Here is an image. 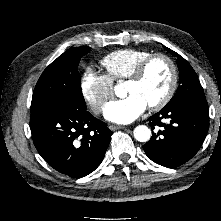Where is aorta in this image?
I'll use <instances>...</instances> for the list:
<instances>
[{
  "label": "aorta",
  "mask_w": 221,
  "mask_h": 221,
  "mask_svg": "<svg viewBox=\"0 0 221 221\" xmlns=\"http://www.w3.org/2000/svg\"><path fill=\"white\" fill-rule=\"evenodd\" d=\"M122 89L121 86L115 87V92L118 93ZM134 137L137 141L146 142L151 137L150 129L145 125H139L134 129Z\"/></svg>",
  "instance_id": "aorta-1"
}]
</instances>
